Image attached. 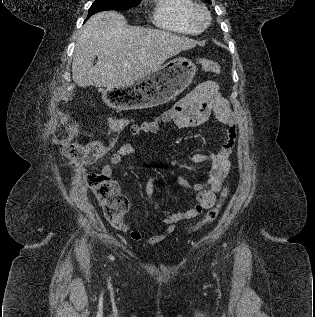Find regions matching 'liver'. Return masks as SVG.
Instances as JSON below:
<instances>
[{
	"instance_id": "obj_1",
	"label": "liver",
	"mask_w": 315,
	"mask_h": 317,
	"mask_svg": "<svg viewBox=\"0 0 315 317\" xmlns=\"http://www.w3.org/2000/svg\"><path fill=\"white\" fill-rule=\"evenodd\" d=\"M196 45L193 39L167 31L130 27L124 16L115 11L99 12L80 31L72 79L79 87H124Z\"/></svg>"
}]
</instances>
